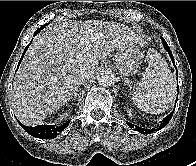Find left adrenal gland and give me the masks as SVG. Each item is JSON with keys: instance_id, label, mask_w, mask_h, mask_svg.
<instances>
[{"instance_id": "obj_1", "label": "left adrenal gland", "mask_w": 196, "mask_h": 166, "mask_svg": "<svg viewBox=\"0 0 196 166\" xmlns=\"http://www.w3.org/2000/svg\"><path fill=\"white\" fill-rule=\"evenodd\" d=\"M123 80H124V85H128L131 87L130 82L127 78H124Z\"/></svg>"}]
</instances>
